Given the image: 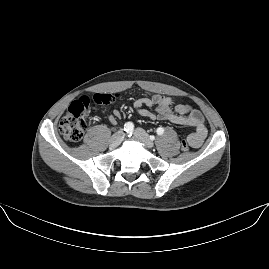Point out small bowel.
<instances>
[{
  "instance_id": "obj_1",
  "label": "small bowel",
  "mask_w": 269,
  "mask_h": 269,
  "mask_svg": "<svg viewBox=\"0 0 269 269\" xmlns=\"http://www.w3.org/2000/svg\"><path fill=\"white\" fill-rule=\"evenodd\" d=\"M172 98L159 94H151L149 97L139 98L133 102L134 109L144 117H149L152 120H163L178 125H185L193 128V132L189 136L190 146L199 148L207 135V129L204 126V119L201 113L191 108L189 105L181 104L177 106L176 111H173ZM157 107V113L153 114L149 108ZM119 110H113L109 116L110 124L115 125L120 118Z\"/></svg>"
}]
</instances>
